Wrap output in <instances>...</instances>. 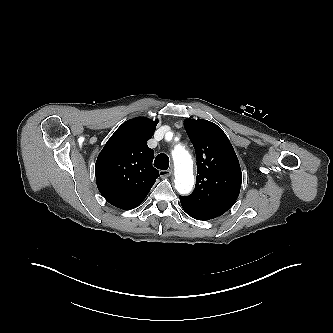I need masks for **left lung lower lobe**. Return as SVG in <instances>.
I'll use <instances>...</instances> for the list:
<instances>
[{
  "label": "left lung lower lobe",
  "instance_id": "left-lung-lower-lobe-1",
  "mask_svg": "<svg viewBox=\"0 0 333 333\" xmlns=\"http://www.w3.org/2000/svg\"><path fill=\"white\" fill-rule=\"evenodd\" d=\"M181 205H182L183 210L194 219L206 221V220H210V219L217 217L209 212H206V211H203V210L191 207V206H187V205H183V204H181Z\"/></svg>",
  "mask_w": 333,
  "mask_h": 333
}]
</instances>
